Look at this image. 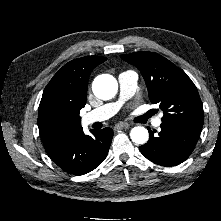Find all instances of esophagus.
Listing matches in <instances>:
<instances>
[{
    "mask_svg": "<svg viewBox=\"0 0 221 221\" xmlns=\"http://www.w3.org/2000/svg\"><path fill=\"white\" fill-rule=\"evenodd\" d=\"M130 125L126 122H121L116 124L115 129H123V128H128Z\"/></svg>",
    "mask_w": 221,
    "mask_h": 221,
    "instance_id": "obj_1",
    "label": "esophagus"
}]
</instances>
